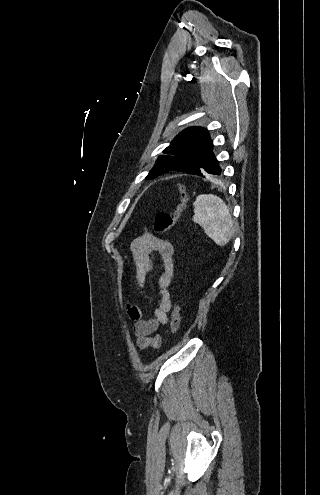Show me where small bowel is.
Returning a JSON list of instances; mask_svg holds the SVG:
<instances>
[{"mask_svg":"<svg viewBox=\"0 0 320 495\" xmlns=\"http://www.w3.org/2000/svg\"><path fill=\"white\" fill-rule=\"evenodd\" d=\"M131 253L136 269V281L140 288L146 286L148 276L154 270V253H159L162 271L158 279L161 301L154 310V318H144L139 307L131 306L128 314L133 320V333L137 345L141 349L158 348L161 336L155 334L157 328L169 323L168 312L172 302L168 287L174 276V246L171 242L159 237L153 231L146 229L144 233L131 243Z\"/></svg>","mask_w":320,"mask_h":495,"instance_id":"1","label":"small bowel"}]
</instances>
